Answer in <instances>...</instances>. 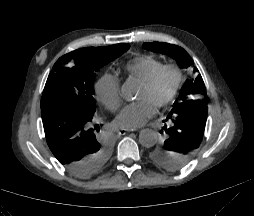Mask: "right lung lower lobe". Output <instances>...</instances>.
Returning <instances> with one entry per match:
<instances>
[{"label":"right lung lower lobe","instance_id":"obj_1","mask_svg":"<svg viewBox=\"0 0 254 216\" xmlns=\"http://www.w3.org/2000/svg\"><path fill=\"white\" fill-rule=\"evenodd\" d=\"M41 115L48 146L56 159L77 177L95 174L102 143L96 136L93 115L64 105L48 106Z\"/></svg>","mask_w":254,"mask_h":216}]
</instances>
